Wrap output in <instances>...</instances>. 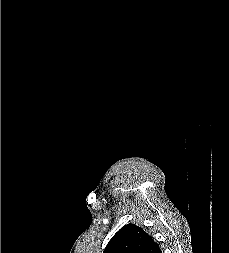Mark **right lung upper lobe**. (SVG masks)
I'll use <instances>...</instances> for the list:
<instances>
[{"label":"right lung upper lobe","instance_id":"right-lung-upper-lobe-1","mask_svg":"<svg viewBox=\"0 0 229 253\" xmlns=\"http://www.w3.org/2000/svg\"><path fill=\"white\" fill-rule=\"evenodd\" d=\"M103 253H162L159 245L134 224L123 226L108 242Z\"/></svg>","mask_w":229,"mask_h":253}]
</instances>
